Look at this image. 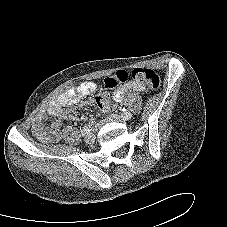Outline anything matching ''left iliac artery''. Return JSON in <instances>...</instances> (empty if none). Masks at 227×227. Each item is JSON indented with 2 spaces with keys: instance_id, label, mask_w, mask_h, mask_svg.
<instances>
[{
  "instance_id": "obj_1",
  "label": "left iliac artery",
  "mask_w": 227,
  "mask_h": 227,
  "mask_svg": "<svg viewBox=\"0 0 227 227\" xmlns=\"http://www.w3.org/2000/svg\"><path fill=\"white\" fill-rule=\"evenodd\" d=\"M122 111H123V115H127L128 113H130V112L127 111L125 108H123Z\"/></svg>"
}]
</instances>
